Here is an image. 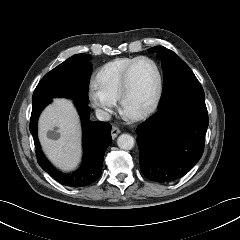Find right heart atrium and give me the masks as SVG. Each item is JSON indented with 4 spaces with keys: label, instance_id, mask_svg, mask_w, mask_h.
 <instances>
[{
    "label": "right heart atrium",
    "instance_id": "d8ad5b80",
    "mask_svg": "<svg viewBox=\"0 0 240 240\" xmlns=\"http://www.w3.org/2000/svg\"><path fill=\"white\" fill-rule=\"evenodd\" d=\"M92 105L103 117H107L116 104V100L105 94L96 83H92L88 90Z\"/></svg>",
    "mask_w": 240,
    "mask_h": 240
}]
</instances>
